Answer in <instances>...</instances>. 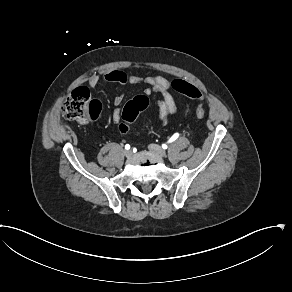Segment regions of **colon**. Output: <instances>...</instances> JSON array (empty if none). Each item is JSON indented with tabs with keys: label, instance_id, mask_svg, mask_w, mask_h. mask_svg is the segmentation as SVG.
<instances>
[{
	"label": "colon",
	"instance_id": "colon-1",
	"mask_svg": "<svg viewBox=\"0 0 292 292\" xmlns=\"http://www.w3.org/2000/svg\"><path fill=\"white\" fill-rule=\"evenodd\" d=\"M172 88L181 94L187 95L194 100H202L199 90L182 80H175ZM150 104L146 95H137L128 100L122 108V123L131 126L137 119L140 112L145 111ZM101 111L100 102L93 100L89 91L84 87L75 88L68 96L64 106V114L67 118L77 121L80 124H87L91 119L97 117ZM196 117H205V108L202 103L196 104Z\"/></svg>",
	"mask_w": 292,
	"mask_h": 292
}]
</instances>
